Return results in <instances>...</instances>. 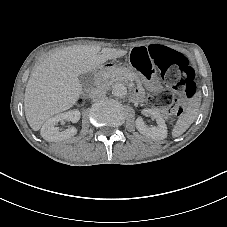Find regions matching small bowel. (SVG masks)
<instances>
[{
  "label": "small bowel",
  "mask_w": 227,
  "mask_h": 227,
  "mask_svg": "<svg viewBox=\"0 0 227 227\" xmlns=\"http://www.w3.org/2000/svg\"><path fill=\"white\" fill-rule=\"evenodd\" d=\"M149 47H138V48H135L134 50H137V51H140L142 52L143 54L147 55L148 58L150 59V56H149Z\"/></svg>",
  "instance_id": "c3829d8e"
}]
</instances>
